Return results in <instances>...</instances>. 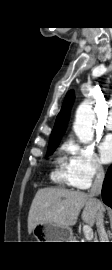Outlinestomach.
Segmentation results:
<instances>
[{
  "instance_id": "0dacf381",
  "label": "stomach",
  "mask_w": 112,
  "mask_h": 270,
  "mask_svg": "<svg viewBox=\"0 0 112 270\" xmlns=\"http://www.w3.org/2000/svg\"><path fill=\"white\" fill-rule=\"evenodd\" d=\"M33 236L37 242H72L70 227H61L54 224H38L33 229Z\"/></svg>"
}]
</instances>
